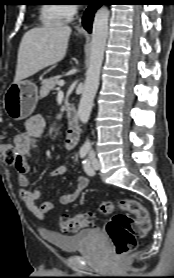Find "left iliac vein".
I'll return each mask as SVG.
<instances>
[{
	"label": "left iliac vein",
	"mask_w": 174,
	"mask_h": 278,
	"mask_svg": "<svg viewBox=\"0 0 174 278\" xmlns=\"http://www.w3.org/2000/svg\"><path fill=\"white\" fill-rule=\"evenodd\" d=\"M91 164L95 170H98L100 168V162L95 156L92 157Z\"/></svg>",
	"instance_id": "4c4485c4"
}]
</instances>
